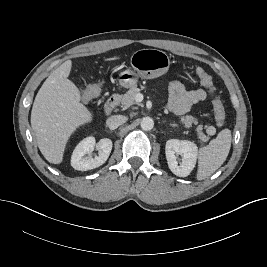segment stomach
Listing matches in <instances>:
<instances>
[{"label": "stomach", "instance_id": "1", "mask_svg": "<svg viewBox=\"0 0 267 267\" xmlns=\"http://www.w3.org/2000/svg\"><path fill=\"white\" fill-rule=\"evenodd\" d=\"M132 70L119 74V84L124 88L134 86L138 78L153 79L164 75L170 67L169 56L157 49H141L134 52L130 58Z\"/></svg>", "mask_w": 267, "mask_h": 267}]
</instances>
